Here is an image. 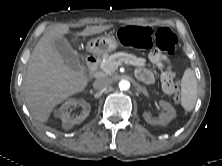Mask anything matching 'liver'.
<instances>
[{
    "mask_svg": "<svg viewBox=\"0 0 222 166\" xmlns=\"http://www.w3.org/2000/svg\"><path fill=\"white\" fill-rule=\"evenodd\" d=\"M112 25L87 26L81 36H90ZM67 24H58L46 31L30 56L23 80L25 101L33 117L40 123L48 121L54 107L85 89L89 82L82 70L66 65L54 47V40L69 34Z\"/></svg>",
    "mask_w": 222,
    "mask_h": 166,
    "instance_id": "obj_1",
    "label": "liver"
}]
</instances>
